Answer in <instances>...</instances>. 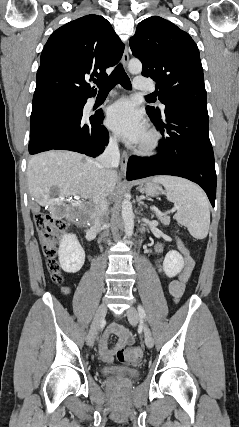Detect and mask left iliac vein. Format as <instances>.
Listing matches in <instances>:
<instances>
[{"label": "left iliac vein", "mask_w": 239, "mask_h": 427, "mask_svg": "<svg viewBox=\"0 0 239 427\" xmlns=\"http://www.w3.org/2000/svg\"><path fill=\"white\" fill-rule=\"evenodd\" d=\"M127 318L131 325L135 326L140 320V315L137 309L133 306L129 307L126 311ZM144 334H145V344L148 348H152L154 345V340L151 334L150 329L147 325L144 326Z\"/></svg>", "instance_id": "1"}]
</instances>
